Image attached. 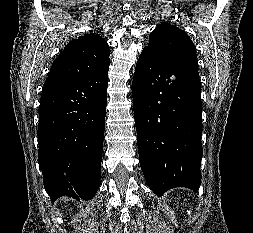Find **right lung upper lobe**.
Instances as JSON below:
<instances>
[{
	"label": "right lung upper lobe",
	"instance_id": "1",
	"mask_svg": "<svg viewBox=\"0 0 253 233\" xmlns=\"http://www.w3.org/2000/svg\"><path fill=\"white\" fill-rule=\"evenodd\" d=\"M110 50L107 42L89 33L68 43L52 64L48 80L99 73L109 69Z\"/></svg>",
	"mask_w": 253,
	"mask_h": 233
}]
</instances>
